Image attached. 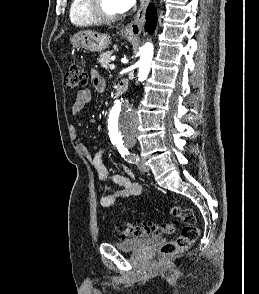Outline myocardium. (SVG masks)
<instances>
[{
    "label": "myocardium",
    "mask_w": 259,
    "mask_h": 294,
    "mask_svg": "<svg viewBox=\"0 0 259 294\" xmlns=\"http://www.w3.org/2000/svg\"><path fill=\"white\" fill-rule=\"evenodd\" d=\"M88 11L90 15L100 23H111L119 20L122 17V13L108 14L101 5V0H88Z\"/></svg>",
    "instance_id": "f54148a6"
}]
</instances>
